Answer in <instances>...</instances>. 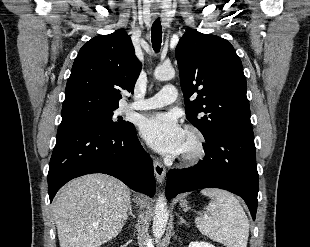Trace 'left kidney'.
Returning a JSON list of instances; mask_svg holds the SVG:
<instances>
[{
  "instance_id": "left-kidney-1",
  "label": "left kidney",
  "mask_w": 310,
  "mask_h": 247,
  "mask_svg": "<svg viewBox=\"0 0 310 247\" xmlns=\"http://www.w3.org/2000/svg\"><path fill=\"white\" fill-rule=\"evenodd\" d=\"M188 247H215L207 242H191Z\"/></svg>"
}]
</instances>
